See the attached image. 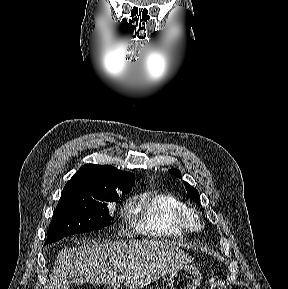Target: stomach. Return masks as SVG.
<instances>
[{"label":"stomach","mask_w":288,"mask_h":289,"mask_svg":"<svg viewBox=\"0 0 288 289\" xmlns=\"http://www.w3.org/2000/svg\"><path fill=\"white\" fill-rule=\"evenodd\" d=\"M201 278L198 268L185 265L170 273L168 285L170 289H197Z\"/></svg>","instance_id":"obj_1"}]
</instances>
